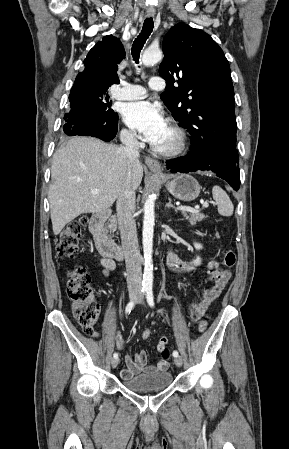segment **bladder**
<instances>
[{
    "mask_svg": "<svg viewBox=\"0 0 289 449\" xmlns=\"http://www.w3.org/2000/svg\"><path fill=\"white\" fill-rule=\"evenodd\" d=\"M172 383V374L169 371H158L152 373H141L130 379L122 381V385L134 392L149 390H161L169 387Z\"/></svg>",
    "mask_w": 289,
    "mask_h": 449,
    "instance_id": "31cf9c89",
    "label": "bladder"
}]
</instances>
